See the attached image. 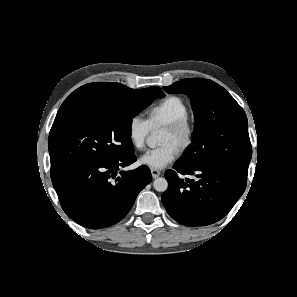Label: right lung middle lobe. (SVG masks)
Instances as JSON below:
<instances>
[{
  "label": "right lung middle lobe",
  "instance_id": "dd1d6c3e",
  "mask_svg": "<svg viewBox=\"0 0 297 297\" xmlns=\"http://www.w3.org/2000/svg\"><path fill=\"white\" fill-rule=\"evenodd\" d=\"M157 97L164 96L154 87L133 90L124 99L87 105L56 118L48 141L51 175L78 162L133 154L132 118Z\"/></svg>",
  "mask_w": 297,
  "mask_h": 297
}]
</instances>
